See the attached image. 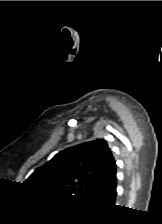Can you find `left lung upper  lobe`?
<instances>
[{"label":"left lung upper lobe","mask_w":162,"mask_h":224,"mask_svg":"<svg viewBox=\"0 0 162 224\" xmlns=\"http://www.w3.org/2000/svg\"><path fill=\"white\" fill-rule=\"evenodd\" d=\"M115 171L116 163L106 141L97 139L57 153L25 183L58 195L87 198Z\"/></svg>","instance_id":"obj_1"}]
</instances>
